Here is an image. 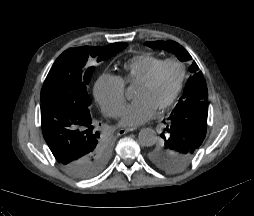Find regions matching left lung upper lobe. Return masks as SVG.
<instances>
[{
	"label": "left lung upper lobe",
	"mask_w": 254,
	"mask_h": 216,
	"mask_svg": "<svg viewBox=\"0 0 254 216\" xmlns=\"http://www.w3.org/2000/svg\"><path fill=\"white\" fill-rule=\"evenodd\" d=\"M145 44L171 51L181 61L191 59L190 54L175 41H150ZM198 69L193 62L190 71L194 75L188 79L183 95L166 122L167 126L161 133L162 140L148 152L149 160L169 173L182 171L192 162L206 135L208 92L203 74Z\"/></svg>",
	"instance_id": "1"
}]
</instances>
